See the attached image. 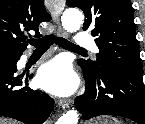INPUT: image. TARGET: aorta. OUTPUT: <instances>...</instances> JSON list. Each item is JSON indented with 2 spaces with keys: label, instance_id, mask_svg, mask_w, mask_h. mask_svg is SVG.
<instances>
[{
  "label": "aorta",
  "instance_id": "762f6f07",
  "mask_svg": "<svg viewBox=\"0 0 145 124\" xmlns=\"http://www.w3.org/2000/svg\"><path fill=\"white\" fill-rule=\"evenodd\" d=\"M83 15L77 9H67L61 18L63 28L68 32H76L83 23ZM79 114L75 110H70L63 114L56 124H78Z\"/></svg>",
  "mask_w": 145,
  "mask_h": 124
}]
</instances>
